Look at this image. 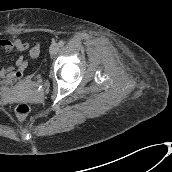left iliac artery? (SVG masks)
Here are the masks:
<instances>
[{"instance_id":"left-iliac-artery-1","label":"left iliac artery","mask_w":172,"mask_h":172,"mask_svg":"<svg viewBox=\"0 0 172 172\" xmlns=\"http://www.w3.org/2000/svg\"><path fill=\"white\" fill-rule=\"evenodd\" d=\"M58 44L60 47H62L64 45V41L60 40Z\"/></svg>"}]
</instances>
